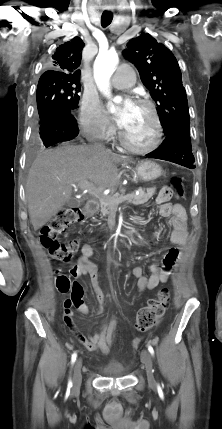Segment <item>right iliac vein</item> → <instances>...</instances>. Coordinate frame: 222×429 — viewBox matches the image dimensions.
Masks as SVG:
<instances>
[{
	"instance_id": "1",
	"label": "right iliac vein",
	"mask_w": 222,
	"mask_h": 429,
	"mask_svg": "<svg viewBox=\"0 0 222 429\" xmlns=\"http://www.w3.org/2000/svg\"><path fill=\"white\" fill-rule=\"evenodd\" d=\"M81 367L82 362L81 360H77L74 366L73 370V388L74 390H77L80 388L81 381H82V374H81Z\"/></svg>"
}]
</instances>
